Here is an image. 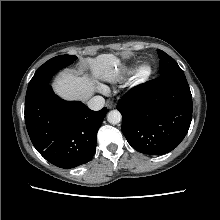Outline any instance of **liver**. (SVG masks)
I'll return each mask as SVG.
<instances>
[{
	"label": "liver",
	"mask_w": 220,
	"mask_h": 220,
	"mask_svg": "<svg viewBox=\"0 0 220 220\" xmlns=\"http://www.w3.org/2000/svg\"><path fill=\"white\" fill-rule=\"evenodd\" d=\"M91 67V77H80L63 72L53 83L55 92L66 100L87 101L95 92L98 79L115 82L121 72L120 60L113 54H101L96 58H87Z\"/></svg>",
	"instance_id": "1"
}]
</instances>
